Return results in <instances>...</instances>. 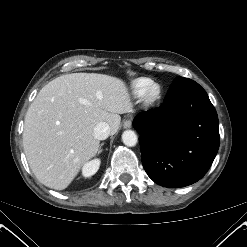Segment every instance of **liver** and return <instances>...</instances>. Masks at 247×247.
Returning <instances> with one entry per match:
<instances>
[{"mask_svg": "<svg viewBox=\"0 0 247 247\" xmlns=\"http://www.w3.org/2000/svg\"><path fill=\"white\" fill-rule=\"evenodd\" d=\"M133 112L126 83L97 73L61 75L37 94L25 116L23 147L29 166L45 186L63 190L99 150L94 128L120 126Z\"/></svg>", "mask_w": 247, "mask_h": 247, "instance_id": "6515ba94", "label": "liver"}]
</instances>
